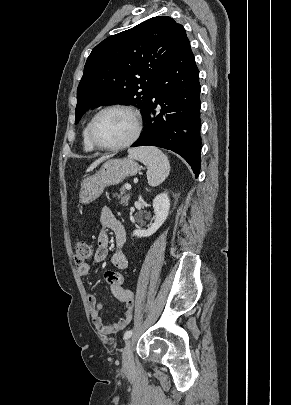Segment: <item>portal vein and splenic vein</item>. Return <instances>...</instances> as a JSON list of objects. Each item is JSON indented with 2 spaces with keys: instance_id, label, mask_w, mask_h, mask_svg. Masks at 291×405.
Wrapping results in <instances>:
<instances>
[{
  "instance_id": "1",
  "label": "portal vein and splenic vein",
  "mask_w": 291,
  "mask_h": 405,
  "mask_svg": "<svg viewBox=\"0 0 291 405\" xmlns=\"http://www.w3.org/2000/svg\"><path fill=\"white\" fill-rule=\"evenodd\" d=\"M125 188H126L127 190H131V185H130V184H126V185H125Z\"/></svg>"
}]
</instances>
